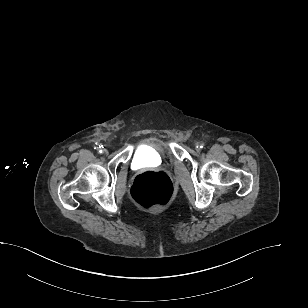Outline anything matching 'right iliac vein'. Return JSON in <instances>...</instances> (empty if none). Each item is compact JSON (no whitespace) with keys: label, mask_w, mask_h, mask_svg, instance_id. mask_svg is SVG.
<instances>
[{"label":"right iliac vein","mask_w":308,"mask_h":308,"mask_svg":"<svg viewBox=\"0 0 308 308\" xmlns=\"http://www.w3.org/2000/svg\"><path fill=\"white\" fill-rule=\"evenodd\" d=\"M107 152H108V151H107L106 149H104V150H103V153H105V154H106Z\"/></svg>","instance_id":"right-iliac-vein-1"}]
</instances>
